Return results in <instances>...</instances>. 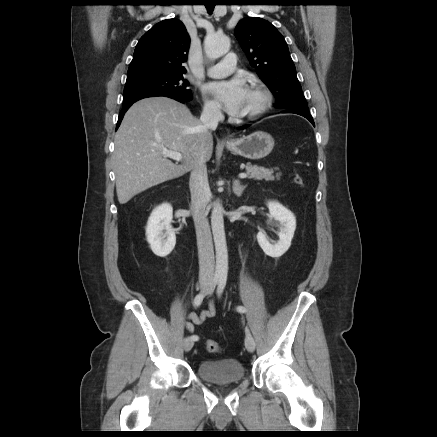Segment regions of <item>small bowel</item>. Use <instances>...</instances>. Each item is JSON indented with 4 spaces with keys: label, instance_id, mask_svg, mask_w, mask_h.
<instances>
[{
    "label": "small bowel",
    "instance_id": "c3829d8e",
    "mask_svg": "<svg viewBox=\"0 0 437 437\" xmlns=\"http://www.w3.org/2000/svg\"><path fill=\"white\" fill-rule=\"evenodd\" d=\"M216 314V308L213 303L209 304L208 309L203 310L200 314L191 312L187 314V322L185 327L189 332H194L196 325H201L206 319L214 317Z\"/></svg>",
    "mask_w": 437,
    "mask_h": 437
}]
</instances>
